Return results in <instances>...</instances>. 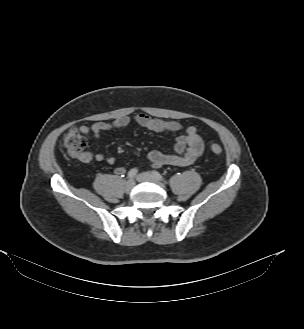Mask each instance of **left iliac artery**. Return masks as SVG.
<instances>
[{"label":"left iliac artery","instance_id":"obj_1","mask_svg":"<svg viewBox=\"0 0 304 329\" xmlns=\"http://www.w3.org/2000/svg\"><path fill=\"white\" fill-rule=\"evenodd\" d=\"M152 174L154 175L155 178H157L160 181H163L166 183L165 178L158 172V171H153Z\"/></svg>","mask_w":304,"mask_h":329}]
</instances>
